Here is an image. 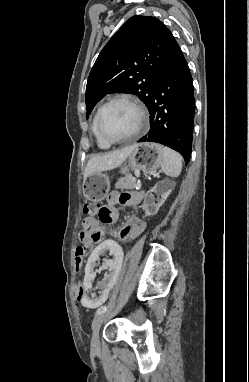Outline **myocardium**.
I'll list each match as a JSON object with an SVG mask.
<instances>
[{"mask_svg":"<svg viewBox=\"0 0 249 382\" xmlns=\"http://www.w3.org/2000/svg\"><path fill=\"white\" fill-rule=\"evenodd\" d=\"M115 102H125V103L130 104L131 106H133L136 109V111L138 112V115H139V121H138L136 130L132 134L125 136V137H121V138L109 137L108 135H106L104 133L102 126H101V117H102L103 111L106 109V107H108L109 105H111ZM147 126H148V115H147L145 109L142 107V105L137 100H135L134 98H132L130 96H126V95H119V96H114V97L110 98L109 100H107L105 103H103L99 107L97 114H96V127H97L98 134L100 135V137L104 141H106L110 144L131 141V140L137 138L147 128Z\"/></svg>","mask_w":249,"mask_h":382,"instance_id":"1","label":"myocardium"}]
</instances>
